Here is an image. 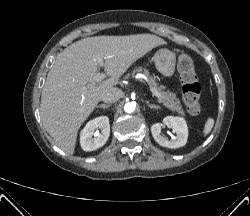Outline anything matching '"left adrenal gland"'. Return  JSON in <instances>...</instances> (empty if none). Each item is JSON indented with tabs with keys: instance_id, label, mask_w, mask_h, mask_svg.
Instances as JSON below:
<instances>
[{
	"instance_id": "a2214340",
	"label": "left adrenal gland",
	"mask_w": 250,
	"mask_h": 216,
	"mask_svg": "<svg viewBox=\"0 0 250 216\" xmlns=\"http://www.w3.org/2000/svg\"><path fill=\"white\" fill-rule=\"evenodd\" d=\"M147 106L151 109H159L160 107L154 104H149V102H147Z\"/></svg>"
}]
</instances>
